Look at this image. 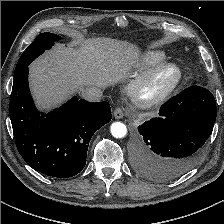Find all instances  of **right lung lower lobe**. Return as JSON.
<instances>
[{"instance_id": "right-lung-lower-lobe-1", "label": "right lung lower lobe", "mask_w": 224, "mask_h": 224, "mask_svg": "<svg viewBox=\"0 0 224 224\" xmlns=\"http://www.w3.org/2000/svg\"><path fill=\"white\" fill-rule=\"evenodd\" d=\"M9 114L17 149L33 169L68 178L86 164L92 135L111 120L108 102L92 103L73 97L60 108L39 112L28 87V67L14 77Z\"/></svg>"}]
</instances>
